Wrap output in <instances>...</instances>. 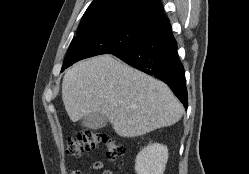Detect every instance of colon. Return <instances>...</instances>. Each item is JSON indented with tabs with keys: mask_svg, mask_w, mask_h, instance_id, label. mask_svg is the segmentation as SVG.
I'll return each mask as SVG.
<instances>
[{
	"mask_svg": "<svg viewBox=\"0 0 249 174\" xmlns=\"http://www.w3.org/2000/svg\"><path fill=\"white\" fill-rule=\"evenodd\" d=\"M103 145L109 160L123 155L124 148L115 139L96 130H83L67 140L66 154L70 157H81L85 152L95 150Z\"/></svg>",
	"mask_w": 249,
	"mask_h": 174,
	"instance_id": "1",
	"label": "colon"
}]
</instances>
